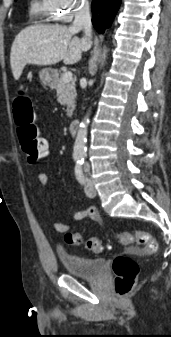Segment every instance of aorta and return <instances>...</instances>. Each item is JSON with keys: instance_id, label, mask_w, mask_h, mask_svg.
Wrapping results in <instances>:
<instances>
[{"instance_id": "762f6f07", "label": "aorta", "mask_w": 171, "mask_h": 337, "mask_svg": "<svg viewBox=\"0 0 171 337\" xmlns=\"http://www.w3.org/2000/svg\"><path fill=\"white\" fill-rule=\"evenodd\" d=\"M107 49L104 47L102 53V62L101 66L104 65L106 59ZM89 113L84 117L82 122L79 125V130L77 132V136L74 142L73 148V156L75 157H84L86 153V142H87V131H88V124H89Z\"/></svg>"}]
</instances>
